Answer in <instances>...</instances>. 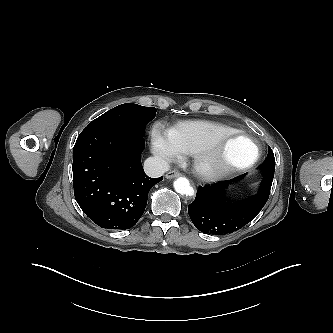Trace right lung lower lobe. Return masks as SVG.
Wrapping results in <instances>:
<instances>
[{"label": "right lung lower lobe", "instance_id": "1", "mask_svg": "<svg viewBox=\"0 0 333 333\" xmlns=\"http://www.w3.org/2000/svg\"><path fill=\"white\" fill-rule=\"evenodd\" d=\"M140 133L83 130L74 146V195L83 212L107 229L133 227L144 213L148 192L162 180L148 177Z\"/></svg>", "mask_w": 333, "mask_h": 333}]
</instances>
